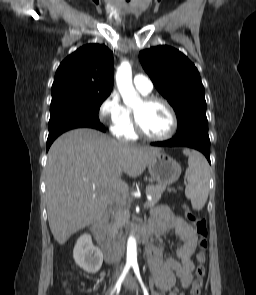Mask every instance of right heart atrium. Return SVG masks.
I'll use <instances>...</instances> for the list:
<instances>
[{"instance_id": "1", "label": "right heart atrium", "mask_w": 256, "mask_h": 295, "mask_svg": "<svg viewBox=\"0 0 256 295\" xmlns=\"http://www.w3.org/2000/svg\"><path fill=\"white\" fill-rule=\"evenodd\" d=\"M100 118L114 134L121 133L128 124L129 115L117 93L112 92L99 107Z\"/></svg>"}]
</instances>
